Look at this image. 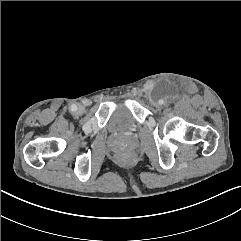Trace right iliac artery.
<instances>
[{"mask_svg": "<svg viewBox=\"0 0 241 241\" xmlns=\"http://www.w3.org/2000/svg\"><path fill=\"white\" fill-rule=\"evenodd\" d=\"M76 110H77V106L76 105H72L70 107V111L75 112Z\"/></svg>", "mask_w": 241, "mask_h": 241, "instance_id": "right-iliac-artery-1", "label": "right iliac artery"}]
</instances>
